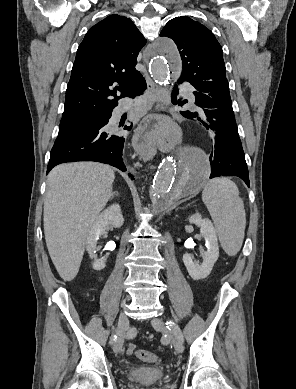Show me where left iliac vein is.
<instances>
[{"instance_id":"4c4485c4","label":"left iliac vein","mask_w":296,"mask_h":389,"mask_svg":"<svg viewBox=\"0 0 296 389\" xmlns=\"http://www.w3.org/2000/svg\"><path fill=\"white\" fill-rule=\"evenodd\" d=\"M152 326L161 332H163L165 335H167L169 338L172 339L174 348L178 354L182 353L184 350L183 341L178 338L175 333L169 331L165 325V322L160 318H154L152 321Z\"/></svg>"}]
</instances>
